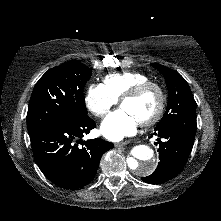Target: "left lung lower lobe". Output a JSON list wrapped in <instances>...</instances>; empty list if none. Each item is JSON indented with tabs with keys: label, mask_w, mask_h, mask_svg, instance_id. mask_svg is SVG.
I'll return each instance as SVG.
<instances>
[{
	"label": "left lung lower lobe",
	"mask_w": 221,
	"mask_h": 221,
	"mask_svg": "<svg viewBox=\"0 0 221 221\" xmlns=\"http://www.w3.org/2000/svg\"><path fill=\"white\" fill-rule=\"evenodd\" d=\"M154 135L158 136L160 162L154 173L141 179L146 183L159 184L176 177L184 168L194 140L168 127L155 128Z\"/></svg>",
	"instance_id": "1"
}]
</instances>
